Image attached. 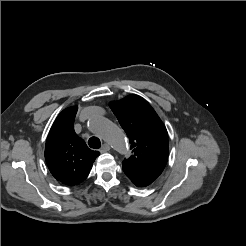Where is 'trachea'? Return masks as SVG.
I'll return each instance as SVG.
<instances>
[{"label": "trachea", "instance_id": "1", "mask_svg": "<svg viewBox=\"0 0 246 246\" xmlns=\"http://www.w3.org/2000/svg\"><path fill=\"white\" fill-rule=\"evenodd\" d=\"M88 144L91 148L94 149H99L101 147V142L97 137H91L88 141Z\"/></svg>", "mask_w": 246, "mask_h": 246}]
</instances>
